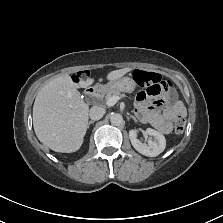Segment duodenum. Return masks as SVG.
I'll return each mask as SVG.
<instances>
[{
    "label": "duodenum",
    "instance_id": "obj_1",
    "mask_svg": "<svg viewBox=\"0 0 223 223\" xmlns=\"http://www.w3.org/2000/svg\"><path fill=\"white\" fill-rule=\"evenodd\" d=\"M104 92V86L103 85H95L92 88H90L86 93V101L88 103H93L96 99V97L99 94H102Z\"/></svg>",
    "mask_w": 223,
    "mask_h": 223
}]
</instances>
